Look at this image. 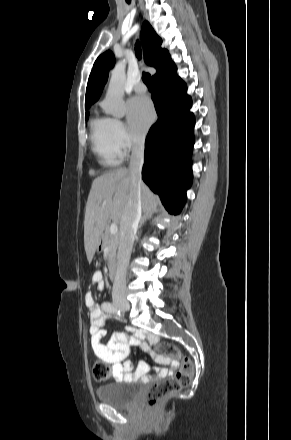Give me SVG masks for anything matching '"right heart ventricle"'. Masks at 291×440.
Listing matches in <instances>:
<instances>
[{
  "mask_svg": "<svg viewBox=\"0 0 291 440\" xmlns=\"http://www.w3.org/2000/svg\"><path fill=\"white\" fill-rule=\"evenodd\" d=\"M92 150L98 162L105 167L117 166L122 154L115 146L112 134V119L96 115L90 122Z\"/></svg>",
  "mask_w": 291,
  "mask_h": 440,
  "instance_id": "1",
  "label": "right heart ventricle"
}]
</instances>
